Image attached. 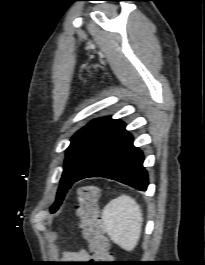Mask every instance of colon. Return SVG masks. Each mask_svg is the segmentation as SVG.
<instances>
[{"mask_svg":"<svg viewBox=\"0 0 205 265\" xmlns=\"http://www.w3.org/2000/svg\"><path fill=\"white\" fill-rule=\"evenodd\" d=\"M99 197L97 186L81 187L76 208L80 228L92 253V265H103L110 260L109 241L103 232L99 217Z\"/></svg>","mask_w":205,"mask_h":265,"instance_id":"5ec220e1","label":"colon"}]
</instances>
